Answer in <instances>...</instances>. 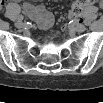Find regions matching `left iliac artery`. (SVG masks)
<instances>
[{
	"mask_svg": "<svg viewBox=\"0 0 103 103\" xmlns=\"http://www.w3.org/2000/svg\"><path fill=\"white\" fill-rule=\"evenodd\" d=\"M90 23H91V21H90L89 19H85V20H84V24H85V25L88 26V25H90Z\"/></svg>",
	"mask_w": 103,
	"mask_h": 103,
	"instance_id": "44dca946",
	"label": "left iliac artery"
}]
</instances>
